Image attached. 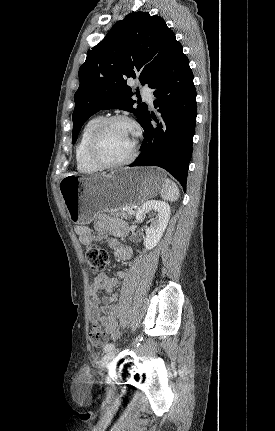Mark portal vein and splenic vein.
Returning a JSON list of instances; mask_svg holds the SVG:
<instances>
[{
	"label": "portal vein and splenic vein",
	"mask_w": 275,
	"mask_h": 431,
	"mask_svg": "<svg viewBox=\"0 0 275 431\" xmlns=\"http://www.w3.org/2000/svg\"><path fill=\"white\" fill-rule=\"evenodd\" d=\"M128 213H129L130 215H133L135 212H134V210H133V209H128Z\"/></svg>",
	"instance_id": "portal-vein-and-splenic-vein-1"
}]
</instances>
